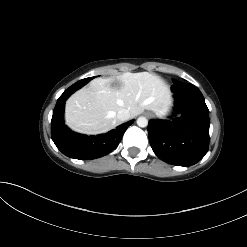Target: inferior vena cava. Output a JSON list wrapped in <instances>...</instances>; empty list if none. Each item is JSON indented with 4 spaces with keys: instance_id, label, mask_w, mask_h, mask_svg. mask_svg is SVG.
Instances as JSON below:
<instances>
[{
    "instance_id": "602c4592",
    "label": "inferior vena cava",
    "mask_w": 247,
    "mask_h": 247,
    "mask_svg": "<svg viewBox=\"0 0 247 247\" xmlns=\"http://www.w3.org/2000/svg\"><path fill=\"white\" fill-rule=\"evenodd\" d=\"M117 118L120 121H127L130 118V112L127 109H121L117 113Z\"/></svg>"
}]
</instances>
